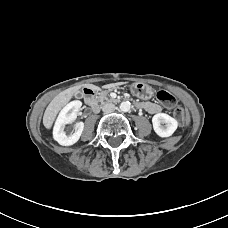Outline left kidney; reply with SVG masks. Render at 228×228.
Instances as JSON below:
<instances>
[{
  "label": "left kidney",
  "mask_w": 228,
  "mask_h": 228,
  "mask_svg": "<svg viewBox=\"0 0 228 228\" xmlns=\"http://www.w3.org/2000/svg\"><path fill=\"white\" fill-rule=\"evenodd\" d=\"M152 124L155 133L160 137L171 136L178 127L176 119L165 113L155 114L152 118Z\"/></svg>",
  "instance_id": "left-kidney-1"
}]
</instances>
